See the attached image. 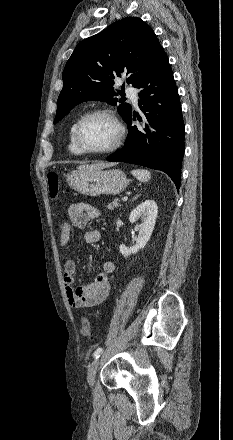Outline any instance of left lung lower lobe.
Returning a JSON list of instances; mask_svg holds the SVG:
<instances>
[{
    "label": "left lung lower lobe",
    "instance_id": "obj_1",
    "mask_svg": "<svg viewBox=\"0 0 233 440\" xmlns=\"http://www.w3.org/2000/svg\"><path fill=\"white\" fill-rule=\"evenodd\" d=\"M144 113L142 127L131 126L135 115L126 120L129 132L125 145L107 161L142 165L167 173L180 187L184 155V122L173 72L164 50L156 57L148 75L136 86ZM141 121V119H139Z\"/></svg>",
    "mask_w": 233,
    "mask_h": 440
}]
</instances>
